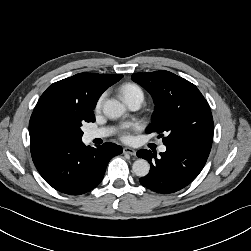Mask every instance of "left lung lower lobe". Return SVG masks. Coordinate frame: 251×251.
Here are the masks:
<instances>
[{
    "instance_id": "obj_1",
    "label": "left lung lower lobe",
    "mask_w": 251,
    "mask_h": 251,
    "mask_svg": "<svg viewBox=\"0 0 251 251\" xmlns=\"http://www.w3.org/2000/svg\"><path fill=\"white\" fill-rule=\"evenodd\" d=\"M212 143L195 141L188 145L166 146L157 158L155 152L139 150L137 156L146 159L151 169L139 181L157 193H174L189 185L203 169Z\"/></svg>"
}]
</instances>
